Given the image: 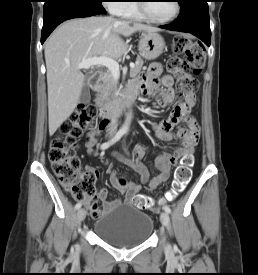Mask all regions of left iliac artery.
I'll return each mask as SVG.
<instances>
[{
  "mask_svg": "<svg viewBox=\"0 0 258 275\" xmlns=\"http://www.w3.org/2000/svg\"><path fill=\"white\" fill-rule=\"evenodd\" d=\"M164 210L167 212V213H171V209L169 206H164Z\"/></svg>",
  "mask_w": 258,
  "mask_h": 275,
  "instance_id": "obj_1",
  "label": "left iliac artery"
}]
</instances>
